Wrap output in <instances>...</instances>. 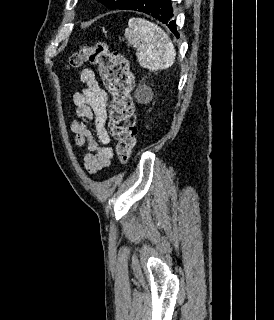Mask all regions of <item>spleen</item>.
I'll return each instance as SVG.
<instances>
[{
    "label": "spleen",
    "mask_w": 274,
    "mask_h": 320,
    "mask_svg": "<svg viewBox=\"0 0 274 320\" xmlns=\"http://www.w3.org/2000/svg\"><path fill=\"white\" fill-rule=\"evenodd\" d=\"M125 30L128 46H136L141 68L167 70L175 62L174 46L162 28L143 18H130Z\"/></svg>",
    "instance_id": "1"
}]
</instances>
